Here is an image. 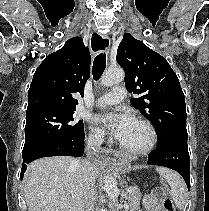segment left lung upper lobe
Returning a JSON list of instances; mask_svg holds the SVG:
<instances>
[{
  "mask_svg": "<svg viewBox=\"0 0 209 211\" xmlns=\"http://www.w3.org/2000/svg\"><path fill=\"white\" fill-rule=\"evenodd\" d=\"M117 62L125 70L127 90L141 94L132 98L131 104L153 123L158 144L176 132L186 131L184 94L166 59L125 34L117 50Z\"/></svg>",
  "mask_w": 209,
  "mask_h": 211,
  "instance_id": "left-lung-upper-lobe-1",
  "label": "left lung upper lobe"
}]
</instances>
